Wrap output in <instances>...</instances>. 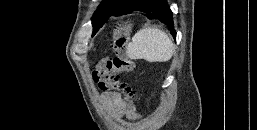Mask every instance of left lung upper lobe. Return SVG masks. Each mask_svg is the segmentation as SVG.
<instances>
[{
  "label": "left lung upper lobe",
  "mask_w": 257,
  "mask_h": 130,
  "mask_svg": "<svg viewBox=\"0 0 257 130\" xmlns=\"http://www.w3.org/2000/svg\"><path fill=\"white\" fill-rule=\"evenodd\" d=\"M129 0H103L92 17L93 34L111 16L112 12L126 4Z\"/></svg>",
  "instance_id": "obj_1"
}]
</instances>
